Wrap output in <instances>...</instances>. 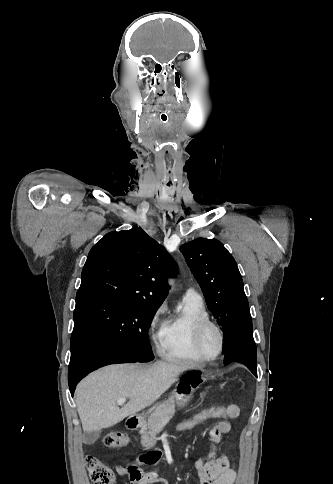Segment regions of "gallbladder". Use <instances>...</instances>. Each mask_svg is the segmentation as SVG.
I'll use <instances>...</instances> for the list:
<instances>
[{
	"label": "gallbladder",
	"instance_id": "bac80fb5",
	"mask_svg": "<svg viewBox=\"0 0 333 484\" xmlns=\"http://www.w3.org/2000/svg\"><path fill=\"white\" fill-rule=\"evenodd\" d=\"M100 431L87 432L83 436V442L91 444L99 437Z\"/></svg>",
	"mask_w": 333,
	"mask_h": 484
}]
</instances>
